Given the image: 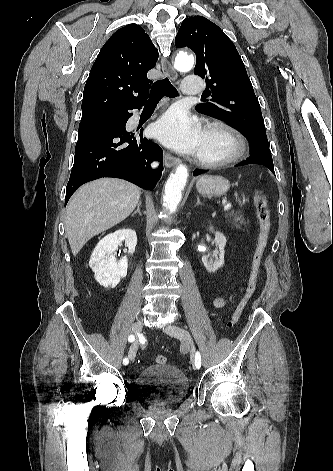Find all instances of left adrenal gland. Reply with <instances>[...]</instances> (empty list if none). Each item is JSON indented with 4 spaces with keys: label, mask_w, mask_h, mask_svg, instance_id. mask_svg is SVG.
<instances>
[{
    "label": "left adrenal gland",
    "mask_w": 333,
    "mask_h": 471,
    "mask_svg": "<svg viewBox=\"0 0 333 471\" xmlns=\"http://www.w3.org/2000/svg\"><path fill=\"white\" fill-rule=\"evenodd\" d=\"M201 204L202 203L200 202V198H199V196H197V202H196L195 206H198V205H201Z\"/></svg>",
    "instance_id": "left-adrenal-gland-1"
}]
</instances>
